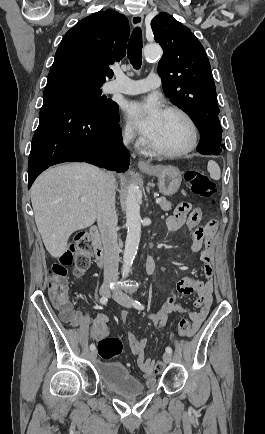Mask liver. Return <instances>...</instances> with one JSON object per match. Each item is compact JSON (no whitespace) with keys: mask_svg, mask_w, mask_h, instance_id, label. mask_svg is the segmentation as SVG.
<instances>
[{"mask_svg":"<svg viewBox=\"0 0 265 434\" xmlns=\"http://www.w3.org/2000/svg\"><path fill=\"white\" fill-rule=\"evenodd\" d=\"M98 174L96 166L65 164L43 172L35 180L31 188L34 218L53 258L65 254L73 232L94 224L99 202ZM80 198H86V202H80Z\"/></svg>","mask_w":265,"mask_h":434,"instance_id":"obj_1","label":"liver"}]
</instances>
